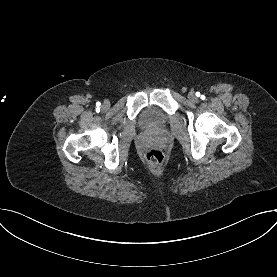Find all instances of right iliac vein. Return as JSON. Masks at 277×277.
<instances>
[{
  "mask_svg": "<svg viewBox=\"0 0 277 277\" xmlns=\"http://www.w3.org/2000/svg\"><path fill=\"white\" fill-rule=\"evenodd\" d=\"M108 108H109V104L108 103H104L102 105V110L106 111V110H108Z\"/></svg>",
  "mask_w": 277,
  "mask_h": 277,
  "instance_id": "1",
  "label": "right iliac vein"
}]
</instances>
